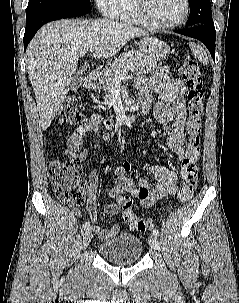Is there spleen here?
Here are the masks:
<instances>
[{
	"label": "spleen",
	"mask_w": 239,
	"mask_h": 303,
	"mask_svg": "<svg viewBox=\"0 0 239 303\" xmlns=\"http://www.w3.org/2000/svg\"><path fill=\"white\" fill-rule=\"evenodd\" d=\"M189 46L195 58H197L203 65H207L209 63L207 53L203 47L192 42Z\"/></svg>",
	"instance_id": "3e777b00"
}]
</instances>
